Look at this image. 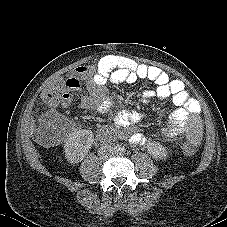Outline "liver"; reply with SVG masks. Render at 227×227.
Listing matches in <instances>:
<instances>
[{"mask_svg": "<svg viewBox=\"0 0 227 227\" xmlns=\"http://www.w3.org/2000/svg\"><path fill=\"white\" fill-rule=\"evenodd\" d=\"M31 128H32V130H33V129H34V126H32Z\"/></svg>", "mask_w": 227, "mask_h": 227, "instance_id": "1", "label": "liver"}]
</instances>
